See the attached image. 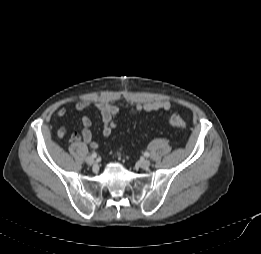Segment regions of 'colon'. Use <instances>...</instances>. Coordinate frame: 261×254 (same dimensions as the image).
<instances>
[{
  "label": "colon",
  "instance_id": "1",
  "mask_svg": "<svg viewBox=\"0 0 261 254\" xmlns=\"http://www.w3.org/2000/svg\"><path fill=\"white\" fill-rule=\"evenodd\" d=\"M167 121H168L169 125L172 126L173 128H176L179 130H184L186 128V122L177 113L168 115Z\"/></svg>",
  "mask_w": 261,
  "mask_h": 254
}]
</instances>
